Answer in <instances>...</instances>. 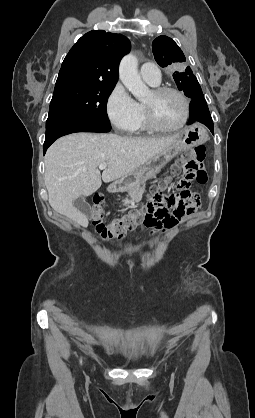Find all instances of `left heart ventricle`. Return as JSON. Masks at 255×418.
Masks as SVG:
<instances>
[{
  "instance_id": "left-heart-ventricle-1",
  "label": "left heart ventricle",
  "mask_w": 255,
  "mask_h": 418,
  "mask_svg": "<svg viewBox=\"0 0 255 418\" xmlns=\"http://www.w3.org/2000/svg\"><path fill=\"white\" fill-rule=\"evenodd\" d=\"M144 103L152 108L155 118L161 126L173 127L178 125L183 119V101L174 93L156 96L151 92Z\"/></svg>"
}]
</instances>
